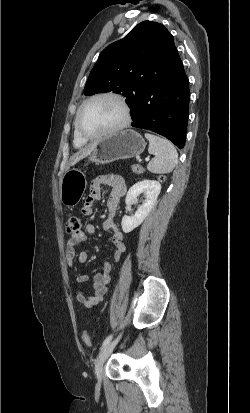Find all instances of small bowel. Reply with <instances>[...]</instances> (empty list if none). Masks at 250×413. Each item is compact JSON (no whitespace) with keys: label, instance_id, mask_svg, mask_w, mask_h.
<instances>
[{"label":"small bowel","instance_id":"obj_1","mask_svg":"<svg viewBox=\"0 0 250 413\" xmlns=\"http://www.w3.org/2000/svg\"><path fill=\"white\" fill-rule=\"evenodd\" d=\"M110 186L111 193L108 198V207L110 210V216L104 220L102 227L105 231L112 232L111 241L113 244V260L119 262L122 255L126 251V244L124 242L123 233L117 228L113 215L120 198L126 192L125 180L118 175H106L101 176L93 180L90 187V195L83 206V213L90 215L92 213V202L99 200L102 197V187ZM96 228L93 224L87 223L84 226V230L74 229L72 237L69 239L66 245V260L70 268H73L74 260H78L83 264L88 259V254L85 249H82L79 253L76 251V246L80 243L88 241V239L95 234ZM112 265L109 262H105L102 269L94 276V282L92 285L93 293L88 295L84 290H79L76 295V299L79 303L86 308H93L98 305L104 298L112 277ZM76 282L84 287L88 283V276L86 274H78L76 276Z\"/></svg>","mask_w":250,"mask_h":413}]
</instances>
